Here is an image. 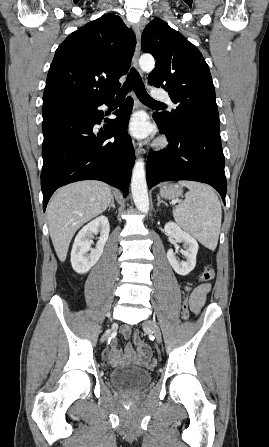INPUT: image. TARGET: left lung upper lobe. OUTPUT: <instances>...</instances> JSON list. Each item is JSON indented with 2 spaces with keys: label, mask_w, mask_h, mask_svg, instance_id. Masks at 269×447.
<instances>
[{
  "label": "left lung upper lobe",
  "mask_w": 269,
  "mask_h": 447,
  "mask_svg": "<svg viewBox=\"0 0 269 447\" xmlns=\"http://www.w3.org/2000/svg\"><path fill=\"white\" fill-rule=\"evenodd\" d=\"M141 47L156 59L149 84L169 92L177 108L158 113L170 125L206 128L220 133L215 89L200 51L159 18L143 31Z\"/></svg>",
  "instance_id": "obj_1"
}]
</instances>
